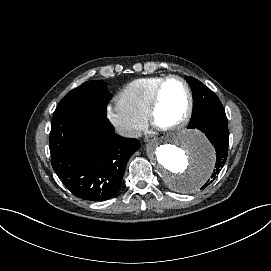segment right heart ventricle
I'll return each mask as SVG.
<instances>
[{"label":"right heart ventricle","mask_w":271,"mask_h":271,"mask_svg":"<svg viewBox=\"0 0 271 271\" xmlns=\"http://www.w3.org/2000/svg\"><path fill=\"white\" fill-rule=\"evenodd\" d=\"M165 77L166 75H154L134 79L121 89L119 97L133 113L146 119L152 93Z\"/></svg>","instance_id":"right-heart-ventricle-1"}]
</instances>
